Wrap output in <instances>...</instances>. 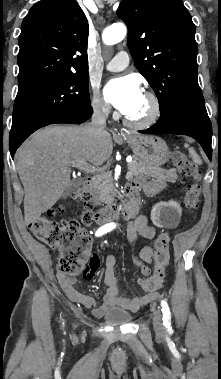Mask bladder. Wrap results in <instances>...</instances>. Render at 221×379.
Wrapping results in <instances>:
<instances>
[{"label":"bladder","instance_id":"bladder-1","mask_svg":"<svg viewBox=\"0 0 221 379\" xmlns=\"http://www.w3.org/2000/svg\"><path fill=\"white\" fill-rule=\"evenodd\" d=\"M103 319L109 324L121 325L131 322L132 314L124 309L114 307L105 312Z\"/></svg>","mask_w":221,"mask_h":379}]
</instances>
